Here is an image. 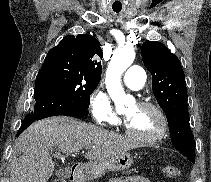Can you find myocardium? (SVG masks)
Segmentation results:
<instances>
[{
	"label": "myocardium",
	"instance_id": "obj_1",
	"mask_svg": "<svg viewBox=\"0 0 211 182\" xmlns=\"http://www.w3.org/2000/svg\"><path fill=\"white\" fill-rule=\"evenodd\" d=\"M137 106L154 110L159 117L160 128L158 132L151 137H140V136H137L135 133H133L131 129L129 128V126L127 125V123H125L124 128H125L126 135L130 137L132 140L136 141L137 143H140L143 145H152L162 140L167 134L168 127H169L167 116L162 110V108L159 107L157 104L149 102V101H141L137 103Z\"/></svg>",
	"mask_w": 211,
	"mask_h": 182
}]
</instances>
